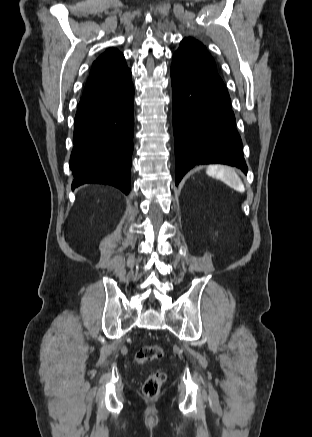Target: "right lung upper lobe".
I'll return each mask as SVG.
<instances>
[{
    "mask_svg": "<svg viewBox=\"0 0 312 437\" xmlns=\"http://www.w3.org/2000/svg\"><path fill=\"white\" fill-rule=\"evenodd\" d=\"M130 72L122 53L117 49L110 48L100 55L90 72L82 100L97 96L114 87Z\"/></svg>",
    "mask_w": 312,
    "mask_h": 437,
    "instance_id": "cb5924a9",
    "label": "right lung upper lobe"
}]
</instances>
